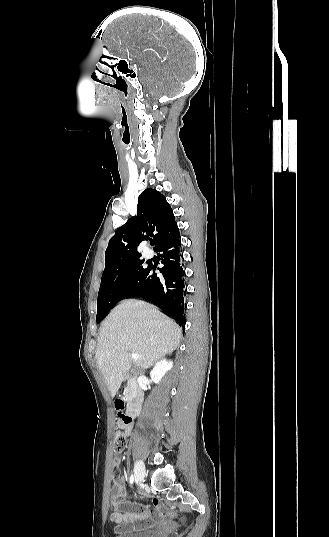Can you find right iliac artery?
<instances>
[{
	"mask_svg": "<svg viewBox=\"0 0 329 537\" xmlns=\"http://www.w3.org/2000/svg\"><path fill=\"white\" fill-rule=\"evenodd\" d=\"M133 482H134V476H133V474H132L131 477H130V484L132 485Z\"/></svg>",
	"mask_w": 329,
	"mask_h": 537,
	"instance_id": "obj_1",
	"label": "right iliac artery"
}]
</instances>
